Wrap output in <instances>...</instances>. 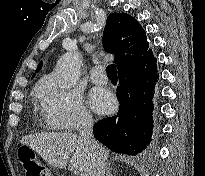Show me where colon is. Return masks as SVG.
Here are the masks:
<instances>
[{"label":"colon","instance_id":"1","mask_svg":"<svg viewBox=\"0 0 205 176\" xmlns=\"http://www.w3.org/2000/svg\"><path fill=\"white\" fill-rule=\"evenodd\" d=\"M19 159L24 166L25 176H49V171L33 151H25Z\"/></svg>","mask_w":205,"mask_h":176}]
</instances>
